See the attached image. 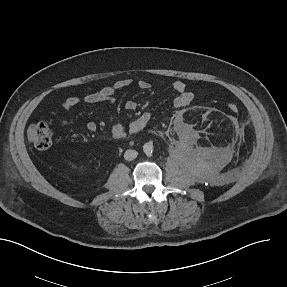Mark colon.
I'll list each match as a JSON object with an SVG mask.
<instances>
[{
  "label": "colon",
  "mask_w": 287,
  "mask_h": 287,
  "mask_svg": "<svg viewBox=\"0 0 287 287\" xmlns=\"http://www.w3.org/2000/svg\"><path fill=\"white\" fill-rule=\"evenodd\" d=\"M228 109L232 113H237L239 107L236 103H230L228 104ZM27 137L35 148L46 150L52 143V130L47 123L37 122L29 126Z\"/></svg>",
  "instance_id": "1"
}]
</instances>
